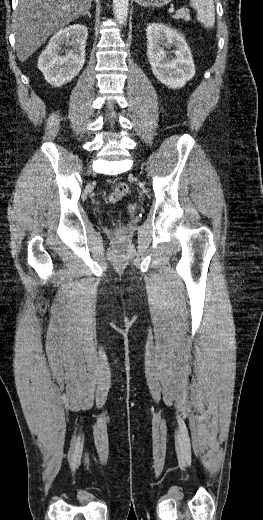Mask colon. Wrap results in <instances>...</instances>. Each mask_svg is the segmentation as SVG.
<instances>
[{
    "instance_id": "colon-1",
    "label": "colon",
    "mask_w": 263,
    "mask_h": 520,
    "mask_svg": "<svg viewBox=\"0 0 263 520\" xmlns=\"http://www.w3.org/2000/svg\"><path fill=\"white\" fill-rule=\"evenodd\" d=\"M129 193V186L125 182H118L108 195V200L111 203H117L126 197Z\"/></svg>"
}]
</instances>
